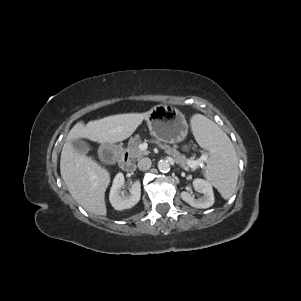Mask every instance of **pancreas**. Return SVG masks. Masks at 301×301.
Wrapping results in <instances>:
<instances>
[{
	"label": "pancreas",
	"instance_id": "cf45deb5",
	"mask_svg": "<svg viewBox=\"0 0 301 301\" xmlns=\"http://www.w3.org/2000/svg\"><path fill=\"white\" fill-rule=\"evenodd\" d=\"M141 139L138 136H135L134 138H131L128 142V153L132 158H135L137 160L141 159L143 156L148 155V151H142L139 149V145L141 144ZM159 145L160 148H162L165 153L172 156L174 158V161L179 164L182 168L186 169L188 165V162L192 159H187L185 155H182L177 150V147H170L167 144H161L159 141H152ZM196 168V167H195Z\"/></svg>",
	"mask_w": 301,
	"mask_h": 301
}]
</instances>
